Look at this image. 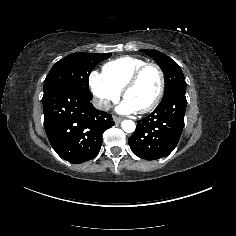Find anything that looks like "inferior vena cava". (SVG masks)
I'll list each match as a JSON object with an SVG mask.
<instances>
[{"label": "inferior vena cava", "mask_w": 236, "mask_h": 236, "mask_svg": "<svg viewBox=\"0 0 236 236\" xmlns=\"http://www.w3.org/2000/svg\"><path fill=\"white\" fill-rule=\"evenodd\" d=\"M93 107L97 110L108 111L111 109V104L108 100L94 96L91 101Z\"/></svg>", "instance_id": "1"}]
</instances>
